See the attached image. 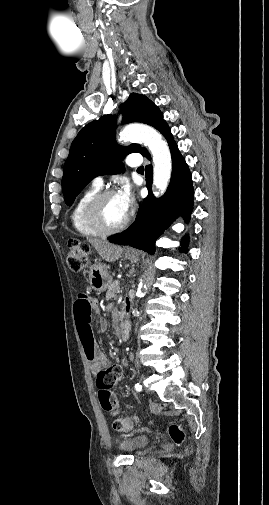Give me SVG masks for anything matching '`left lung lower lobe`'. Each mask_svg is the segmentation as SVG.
Returning a JSON list of instances; mask_svg holds the SVG:
<instances>
[{
	"label": "left lung lower lobe",
	"mask_w": 269,
	"mask_h": 505,
	"mask_svg": "<svg viewBox=\"0 0 269 505\" xmlns=\"http://www.w3.org/2000/svg\"><path fill=\"white\" fill-rule=\"evenodd\" d=\"M153 127L165 136L171 150L173 171L170 184L165 194L156 199L152 194L153 169L151 165H147L146 181L149 195L143 200L135 222L121 234L109 239L112 243L130 245L150 254L155 252V241L178 215H182L185 221L189 220L194 197L191 173L173 140L168 125L161 118ZM143 156L151 159L148 152ZM187 241V237L183 238L180 251H187Z\"/></svg>",
	"instance_id": "0a47b994"
}]
</instances>
